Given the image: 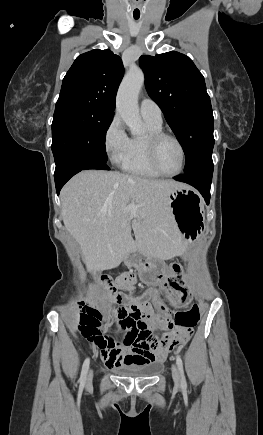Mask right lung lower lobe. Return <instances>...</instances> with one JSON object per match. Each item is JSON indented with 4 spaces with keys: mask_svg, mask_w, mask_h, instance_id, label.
Returning <instances> with one entry per match:
<instances>
[{
    "mask_svg": "<svg viewBox=\"0 0 263 435\" xmlns=\"http://www.w3.org/2000/svg\"><path fill=\"white\" fill-rule=\"evenodd\" d=\"M87 169L109 170V167L106 163L82 157L67 158L59 166H56L54 177L57 194L59 195L63 185L72 176L82 170Z\"/></svg>",
    "mask_w": 263,
    "mask_h": 435,
    "instance_id": "1",
    "label": "right lung lower lobe"
}]
</instances>
